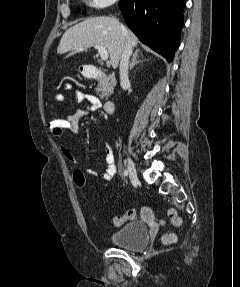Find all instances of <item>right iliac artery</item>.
Listing matches in <instances>:
<instances>
[{"label":"right iliac artery","mask_w":240,"mask_h":287,"mask_svg":"<svg viewBox=\"0 0 240 287\" xmlns=\"http://www.w3.org/2000/svg\"><path fill=\"white\" fill-rule=\"evenodd\" d=\"M127 175H128V171L125 170V171H124V176H127Z\"/></svg>","instance_id":"obj_1"}]
</instances>
